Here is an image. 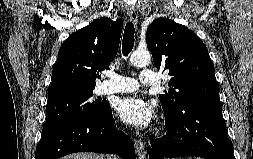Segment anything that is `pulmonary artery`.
<instances>
[{
    "label": "pulmonary artery",
    "instance_id": "e3ab8cb5",
    "mask_svg": "<svg viewBox=\"0 0 253 159\" xmlns=\"http://www.w3.org/2000/svg\"><path fill=\"white\" fill-rule=\"evenodd\" d=\"M108 80L100 86L101 94L127 93L137 90L141 85L151 86L156 84L157 76L149 69H142L140 73V81L120 75L118 73L108 71L105 73Z\"/></svg>",
    "mask_w": 253,
    "mask_h": 159
}]
</instances>
